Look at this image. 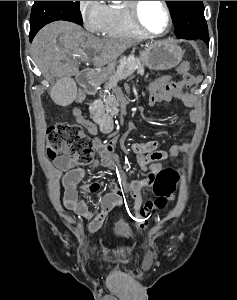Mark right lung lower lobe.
<instances>
[{"mask_svg":"<svg viewBox=\"0 0 237 300\" xmlns=\"http://www.w3.org/2000/svg\"><path fill=\"white\" fill-rule=\"evenodd\" d=\"M35 34H36V33L30 31V41H32V39H33V37L35 36Z\"/></svg>","mask_w":237,"mask_h":300,"instance_id":"98d812e1","label":"right lung lower lobe"}]
</instances>
